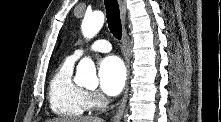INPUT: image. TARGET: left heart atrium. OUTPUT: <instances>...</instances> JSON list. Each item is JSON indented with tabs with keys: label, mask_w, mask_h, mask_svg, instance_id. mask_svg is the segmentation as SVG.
I'll return each mask as SVG.
<instances>
[{
	"label": "left heart atrium",
	"mask_w": 221,
	"mask_h": 122,
	"mask_svg": "<svg viewBox=\"0 0 221 122\" xmlns=\"http://www.w3.org/2000/svg\"><path fill=\"white\" fill-rule=\"evenodd\" d=\"M98 76L101 91L108 96H115L124 87L126 69L120 58L108 56L101 61Z\"/></svg>",
	"instance_id": "left-heart-atrium-1"
}]
</instances>
